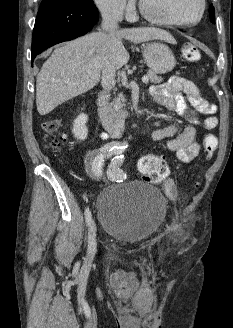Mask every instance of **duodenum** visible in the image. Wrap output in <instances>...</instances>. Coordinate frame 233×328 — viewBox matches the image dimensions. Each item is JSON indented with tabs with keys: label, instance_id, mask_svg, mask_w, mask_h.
<instances>
[{
	"label": "duodenum",
	"instance_id": "1",
	"mask_svg": "<svg viewBox=\"0 0 233 328\" xmlns=\"http://www.w3.org/2000/svg\"><path fill=\"white\" fill-rule=\"evenodd\" d=\"M108 93L102 91L97 99V116L103 127L113 134L119 136L124 128V121L129 114L128 110H124L120 116H114L108 107Z\"/></svg>",
	"mask_w": 233,
	"mask_h": 328
}]
</instances>
